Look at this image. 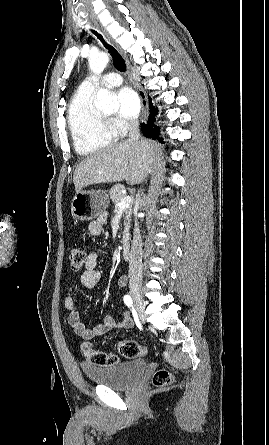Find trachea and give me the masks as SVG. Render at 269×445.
<instances>
[{
	"instance_id": "3493384b",
	"label": "trachea",
	"mask_w": 269,
	"mask_h": 445,
	"mask_svg": "<svg viewBox=\"0 0 269 445\" xmlns=\"http://www.w3.org/2000/svg\"><path fill=\"white\" fill-rule=\"evenodd\" d=\"M93 34L97 36V38L102 42V44L108 49L110 54L112 55L113 64L117 70L120 72H124L126 70V64L122 56L119 52L111 45L107 44V42L103 39L102 35L97 33L95 30H91Z\"/></svg>"
}]
</instances>
